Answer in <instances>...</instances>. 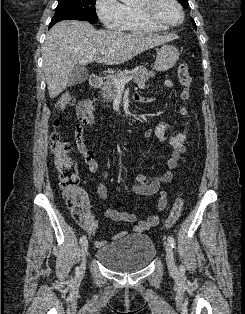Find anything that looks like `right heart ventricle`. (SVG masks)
Wrapping results in <instances>:
<instances>
[{"mask_svg": "<svg viewBox=\"0 0 245 314\" xmlns=\"http://www.w3.org/2000/svg\"><path fill=\"white\" fill-rule=\"evenodd\" d=\"M139 0L133 4H122V24L120 31L131 33H149L166 30L145 21L139 14L137 5Z\"/></svg>", "mask_w": 245, "mask_h": 314, "instance_id": "e07e8e85", "label": "right heart ventricle"}]
</instances>
